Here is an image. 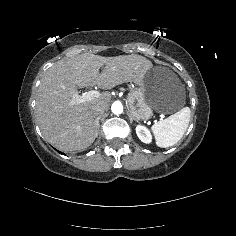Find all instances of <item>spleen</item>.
<instances>
[{
	"label": "spleen",
	"instance_id": "spleen-1",
	"mask_svg": "<svg viewBox=\"0 0 236 236\" xmlns=\"http://www.w3.org/2000/svg\"><path fill=\"white\" fill-rule=\"evenodd\" d=\"M191 117L189 107H184L168 119L161 120L154 125L156 142L159 147H170L176 144L186 132Z\"/></svg>",
	"mask_w": 236,
	"mask_h": 236
}]
</instances>
